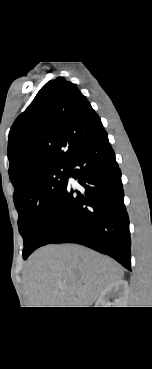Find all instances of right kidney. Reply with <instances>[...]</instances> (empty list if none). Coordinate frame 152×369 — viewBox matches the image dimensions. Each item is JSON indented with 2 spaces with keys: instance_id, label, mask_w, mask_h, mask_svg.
<instances>
[{
  "instance_id": "right-kidney-1",
  "label": "right kidney",
  "mask_w": 152,
  "mask_h": 369,
  "mask_svg": "<svg viewBox=\"0 0 152 369\" xmlns=\"http://www.w3.org/2000/svg\"><path fill=\"white\" fill-rule=\"evenodd\" d=\"M128 293V282L125 280L116 281L101 293L96 302V307H126ZM112 295L116 296L114 302L109 301Z\"/></svg>"
}]
</instances>
